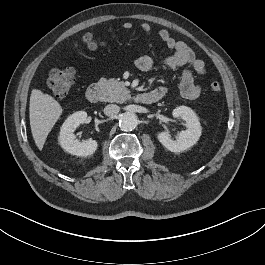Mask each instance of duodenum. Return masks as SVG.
Segmentation results:
<instances>
[{"instance_id": "duodenum-1", "label": "duodenum", "mask_w": 265, "mask_h": 265, "mask_svg": "<svg viewBox=\"0 0 265 265\" xmlns=\"http://www.w3.org/2000/svg\"><path fill=\"white\" fill-rule=\"evenodd\" d=\"M164 94L159 91L142 92L135 96L139 103L150 105L160 101ZM101 97V89L98 85H90L86 90V98L90 103H97Z\"/></svg>"}]
</instances>
